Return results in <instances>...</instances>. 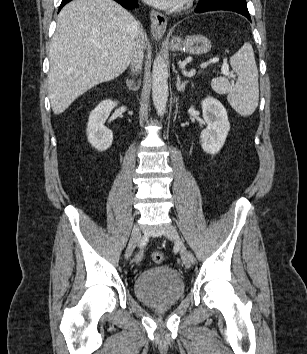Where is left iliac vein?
I'll use <instances>...</instances> for the list:
<instances>
[{
    "mask_svg": "<svg viewBox=\"0 0 307 354\" xmlns=\"http://www.w3.org/2000/svg\"><path fill=\"white\" fill-rule=\"evenodd\" d=\"M164 235L168 239L173 240L176 243V245L179 248L180 256H181V259H182V262H183L184 266L186 268H190L191 267L190 254H189L186 246L184 245L182 239L180 238L176 228L173 227L172 225L168 226L167 229L164 232Z\"/></svg>",
    "mask_w": 307,
    "mask_h": 354,
    "instance_id": "4c4485c4",
    "label": "left iliac vein"
}]
</instances>
